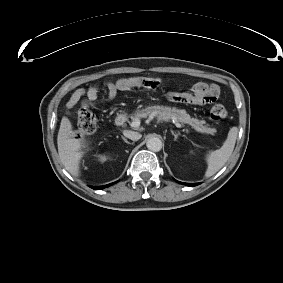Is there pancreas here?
<instances>
[{"label": "pancreas", "instance_id": "obj_1", "mask_svg": "<svg viewBox=\"0 0 283 283\" xmlns=\"http://www.w3.org/2000/svg\"><path fill=\"white\" fill-rule=\"evenodd\" d=\"M135 115L139 118H146L150 115H153L160 121L175 120L176 122L188 123L194 126L196 129L211 131L210 128L203 126L201 121L191 118L185 110H179L176 108L150 106L145 109L138 110Z\"/></svg>", "mask_w": 283, "mask_h": 283}]
</instances>
